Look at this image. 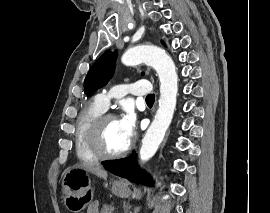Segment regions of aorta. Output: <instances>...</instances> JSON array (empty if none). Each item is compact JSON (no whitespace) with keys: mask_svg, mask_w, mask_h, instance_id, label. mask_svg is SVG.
Listing matches in <instances>:
<instances>
[{"mask_svg":"<svg viewBox=\"0 0 270 213\" xmlns=\"http://www.w3.org/2000/svg\"><path fill=\"white\" fill-rule=\"evenodd\" d=\"M124 65L146 63L153 67L160 80L159 107L154 120L142 139L140 159L147 161L158 150L172 121L178 93V75L171 57L161 48L137 46L127 50L121 58Z\"/></svg>","mask_w":270,"mask_h":213,"instance_id":"obj_1","label":"aorta"}]
</instances>
